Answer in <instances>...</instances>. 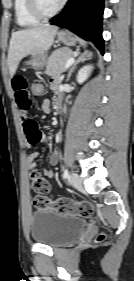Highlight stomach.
Here are the masks:
<instances>
[{"mask_svg":"<svg viewBox=\"0 0 134 281\" xmlns=\"http://www.w3.org/2000/svg\"><path fill=\"white\" fill-rule=\"evenodd\" d=\"M58 40L66 46H74L77 42V38L68 31H59L57 33ZM47 63L46 54H34L30 59L25 61L26 65L31 66L35 70H42Z\"/></svg>","mask_w":134,"mask_h":281,"instance_id":"stomach-1","label":"stomach"}]
</instances>
